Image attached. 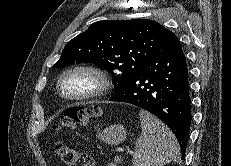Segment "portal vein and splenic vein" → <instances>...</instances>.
I'll use <instances>...</instances> for the list:
<instances>
[{
    "mask_svg": "<svg viewBox=\"0 0 231 166\" xmlns=\"http://www.w3.org/2000/svg\"><path fill=\"white\" fill-rule=\"evenodd\" d=\"M115 159H116V160H120V159H121V156H117Z\"/></svg>",
    "mask_w": 231,
    "mask_h": 166,
    "instance_id": "obj_1",
    "label": "portal vein and splenic vein"
}]
</instances>
